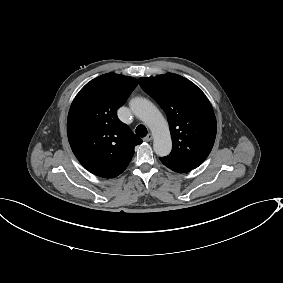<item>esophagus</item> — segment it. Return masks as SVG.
Returning a JSON list of instances; mask_svg holds the SVG:
<instances>
[{
  "instance_id": "34e87169",
  "label": "esophagus",
  "mask_w": 283,
  "mask_h": 283,
  "mask_svg": "<svg viewBox=\"0 0 283 283\" xmlns=\"http://www.w3.org/2000/svg\"><path fill=\"white\" fill-rule=\"evenodd\" d=\"M153 139V136L151 133H149L146 137L143 138V141L149 142Z\"/></svg>"
}]
</instances>
